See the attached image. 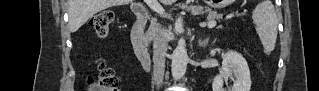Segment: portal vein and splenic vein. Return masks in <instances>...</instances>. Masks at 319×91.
<instances>
[{
    "label": "portal vein and splenic vein",
    "instance_id": "obj_1",
    "mask_svg": "<svg viewBox=\"0 0 319 91\" xmlns=\"http://www.w3.org/2000/svg\"><path fill=\"white\" fill-rule=\"evenodd\" d=\"M148 6L150 7L151 10H153L154 12L163 15L165 14L164 9L162 8V6L155 0H148L147 1ZM217 22L214 20H211L208 22L207 26L208 28H214L216 26Z\"/></svg>",
    "mask_w": 319,
    "mask_h": 91
}]
</instances>
